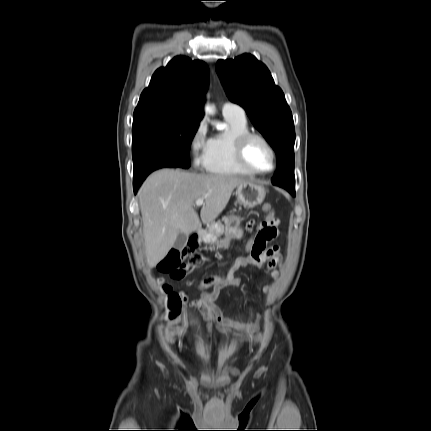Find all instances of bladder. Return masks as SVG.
Returning <instances> with one entry per match:
<instances>
[{
  "label": "bladder",
  "mask_w": 431,
  "mask_h": 431,
  "mask_svg": "<svg viewBox=\"0 0 431 431\" xmlns=\"http://www.w3.org/2000/svg\"><path fill=\"white\" fill-rule=\"evenodd\" d=\"M236 370L235 369H230V373L231 374H235Z\"/></svg>",
  "instance_id": "1"
}]
</instances>
